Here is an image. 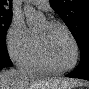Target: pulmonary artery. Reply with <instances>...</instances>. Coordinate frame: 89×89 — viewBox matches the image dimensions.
<instances>
[{
    "instance_id": "pulmonary-artery-1",
    "label": "pulmonary artery",
    "mask_w": 89,
    "mask_h": 89,
    "mask_svg": "<svg viewBox=\"0 0 89 89\" xmlns=\"http://www.w3.org/2000/svg\"><path fill=\"white\" fill-rule=\"evenodd\" d=\"M32 2H34L35 4H46V3H48L47 0H34Z\"/></svg>"
}]
</instances>
